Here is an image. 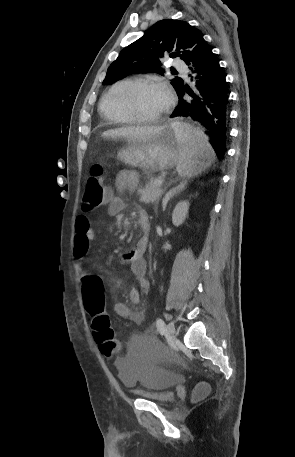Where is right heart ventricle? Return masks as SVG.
Returning a JSON list of instances; mask_svg holds the SVG:
<instances>
[{"label":"right heart ventricle","instance_id":"right-heart-ventricle-1","mask_svg":"<svg viewBox=\"0 0 295 457\" xmlns=\"http://www.w3.org/2000/svg\"><path fill=\"white\" fill-rule=\"evenodd\" d=\"M131 82H133L132 79L119 80L112 84L103 94L99 103V111L110 123L131 124L135 122L126 114L119 101L121 91Z\"/></svg>","mask_w":295,"mask_h":457}]
</instances>
